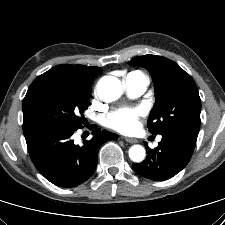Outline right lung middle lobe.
Returning a JSON list of instances; mask_svg holds the SVG:
<instances>
[{
    "instance_id": "1",
    "label": "right lung middle lobe",
    "mask_w": 225,
    "mask_h": 225,
    "mask_svg": "<svg viewBox=\"0 0 225 225\" xmlns=\"http://www.w3.org/2000/svg\"><path fill=\"white\" fill-rule=\"evenodd\" d=\"M92 82L67 72L38 76L23 100V123L41 120L79 129L89 105Z\"/></svg>"
}]
</instances>
